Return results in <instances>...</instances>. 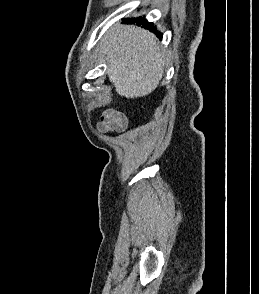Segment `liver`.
<instances>
[{"label":"liver","mask_w":259,"mask_h":294,"mask_svg":"<svg viewBox=\"0 0 259 294\" xmlns=\"http://www.w3.org/2000/svg\"><path fill=\"white\" fill-rule=\"evenodd\" d=\"M100 54L116 92L138 98L153 92L164 73L166 55L156 37L136 26L116 24L100 41Z\"/></svg>","instance_id":"liver-1"}]
</instances>
